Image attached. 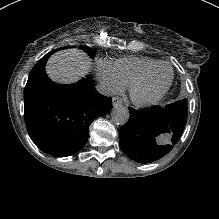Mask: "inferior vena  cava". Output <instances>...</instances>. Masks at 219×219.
Returning <instances> with one entry per match:
<instances>
[{
  "mask_svg": "<svg viewBox=\"0 0 219 219\" xmlns=\"http://www.w3.org/2000/svg\"><path fill=\"white\" fill-rule=\"evenodd\" d=\"M95 88L97 92L108 97H112L115 94L113 88L104 82L98 83Z\"/></svg>",
  "mask_w": 219,
  "mask_h": 219,
  "instance_id": "602c4592",
  "label": "inferior vena cava"
}]
</instances>
